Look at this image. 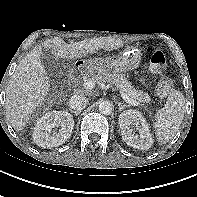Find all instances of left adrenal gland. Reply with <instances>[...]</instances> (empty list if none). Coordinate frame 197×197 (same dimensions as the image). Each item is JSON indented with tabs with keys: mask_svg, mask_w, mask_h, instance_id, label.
<instances>
[{
	"mask_svg": "<svg viewBox=\"0 0 197 197\" xmlns=\"http://www.w3.org/2000/svg\"><path fill=\"white\" fill-rule=\"evenodd\" d=\"M118 106H119V111H122V110H124L125 108L129 107V105L122 104L121 102L118 103Z\"/></svg>",
	"mask_w": 197,
	"mask_h": 197,
	"instance_id": "left-adrenal-gland-1",
	"label": "left adrenal gland"
}]
</instances>
